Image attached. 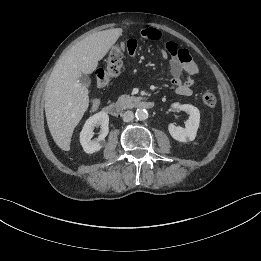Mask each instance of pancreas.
I'll return each instance as SVG.
<instances>
[{"instance_id": "1", "label": "pancreas", "mask_w": 261, "mask_h": 261, "mask_svg": "<svg viewBox=\"0 0 261 261\" xmlns=\"http://www.w3.org/2000/svg\"><path fill=\"white\" fill-rule=\"evenodd\" d=\"M135 100V97L133 96H129V95H121L118 98V103L122 106V107H128L129 104Z\"/></svg>"}]
</instances>
